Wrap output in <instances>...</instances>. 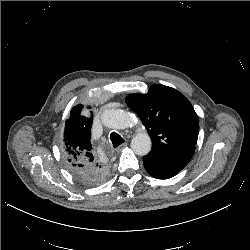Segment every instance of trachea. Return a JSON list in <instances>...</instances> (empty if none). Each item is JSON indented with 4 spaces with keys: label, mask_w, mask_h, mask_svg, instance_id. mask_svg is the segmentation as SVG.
<instances>
[{
    "label": "trachea",
    "mask_w": 250,
    "mask_h": 250,
    "mask_svg": "<svg viewBox=\"0 0 250 250\" xmlns=\"http://www.w3.org/2000/svg\"><path fill=\"white\" fill-rule=\"evenodd\" d=\"M110 139L113 147H118L119 145L125 142V140L116 132H112L110 134Z\"/></svg>",
    "instance_id": "1"
}]
</instances>
